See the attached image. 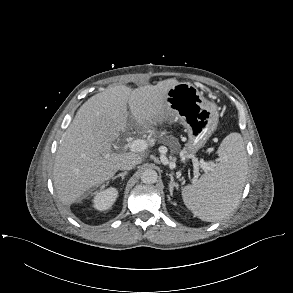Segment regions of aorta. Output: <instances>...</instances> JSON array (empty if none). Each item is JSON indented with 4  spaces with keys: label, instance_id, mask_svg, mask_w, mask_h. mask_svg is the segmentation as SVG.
<instances>
[{
    "label": "aorta",
    "instance_id": "aorta-1",
    "mask_svg": "<svg viewBox=\"0 0 293 293\" xmlns=\"http://www.w3.org/2000/svg\"><path fill=\"white\" fill-rule=\"evenodd\" d=\"M157 179H158V174L153 169H146L141 174V181L145 184L156 183Z\"/></svg>",
    "mask_w": 293,
    "mask_h": 293
}]
</instances>
